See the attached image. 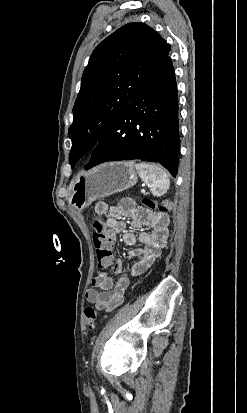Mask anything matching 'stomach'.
Instances as JSON below:
<instances>
[{"instance_id": "obj_1", "label": "stomach", "mask_w": 247, "mask_h": 413, "mask_svg": "<svg viewBox=\"0 0 247 413\" xmlns=\"http://www.w3.org/2000/svg\"><path fill=\"white\" fill-rule=\"evenodd\" d=\"M137 174L132 160L103 162L91 170L80 172L70 184L69 204L74 209H86L97 198H104L113 192L131 188L137 182Z\"/></svg>"}]
</instances>
